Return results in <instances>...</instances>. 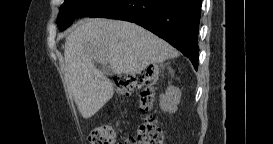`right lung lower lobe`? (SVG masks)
I'll return each instance as SVG.
<instances>
[{
	"mask_svg": "<svg viewBox=\"0 0 273 144\" xmlns=\"http://www.w3.org/2000/svg\"><path fill=\"white\" fill-rule=\"evenodd\" d=\"M202 0H109L91 13L134 22L163 38L198 66Z\"/></svg>",
	"mask_w": 273,
	"mask_h": 144,
	"instance_id": "obj_1",
	"label": "right lung lower lobe"
}]
</instances>
